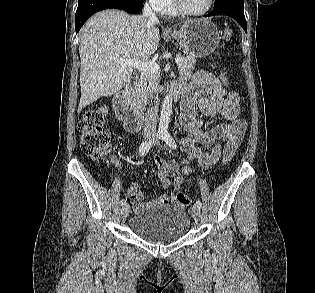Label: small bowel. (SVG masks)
Masks as SVG:
<instances>
[{
	"mask_svg": "<svg viewBox=\"0 0 315 293\" xmlns=\"http://www.w3.org/2000/svg\"><path fill=\"white\" fill-rule=\"evenodd\" d=\"M173 90L183 97L179 124L187 132L186 138L181 142L187 157L180 162L155 157L154 164L158 168L157 175L162 186L175 191L183 183L185 176L191 172L190 163L209 168L218 161L222 152L229 153L232 157L243 139L247 124L239 117L238 94L228 91L223 82L210 72L199 71L189 84L177 83ZM197 105L203 118L195 113ZM215 116L225 121L206 129L208 119ZM220 140L225 143L224 148L218 144ZM127 196L129 202H138L135 206L136 212L152 205L176 202L174 194H164L154 200L144 201L145 197L136 184L131 185Z\"/></svg>",
	"mask_w": 315,
	"mask_h": 293,
	"instance_id": "obj_1",
	"label": "small bowel"
}]
</instances>
